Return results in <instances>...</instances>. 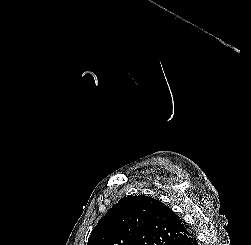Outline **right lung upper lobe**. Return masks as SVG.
<instances>
[{
	"instance_id": "cb5924a9",
	"label": "right lung upper lobe",
	"mask_w": 251,
	"mask_h": 245,
	"mask_svg": "<svg viewBox=\"0 0 251 245\" xmlns=\"http://www.w3.org/2000/svg\"><path fill=\"white\" fill-rule=\"evenodd\" d=\"M187 231L185 222L159 200L128 196L98 222L87 245H170Z\"/></svg>"
}]
</instances>
